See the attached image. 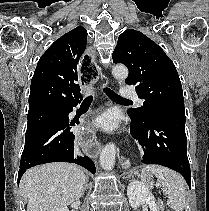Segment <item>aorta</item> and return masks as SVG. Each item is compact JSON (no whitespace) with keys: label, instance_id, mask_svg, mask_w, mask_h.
<instances>
[{"label":"aorta","instance_id":"obj_1","mask_svg":"<svg viewBox=\"0 0 209 211\" xmlns=\"http://www.w3.org/2000/svg\"><path fill=\"white\" fill-rule=\"evenodd\" d=\"M112 74L116 79L125 80L128 76L126 66L119 64L112 69ZM116 147L115 144L109 143L104 146L100 154V165L104 170H112L115 164Z\"/></svg>","mask_w":209,"mask_h":211}]
</instances>
